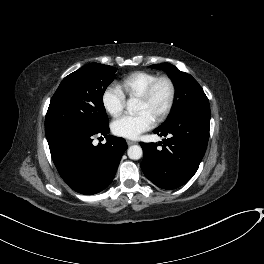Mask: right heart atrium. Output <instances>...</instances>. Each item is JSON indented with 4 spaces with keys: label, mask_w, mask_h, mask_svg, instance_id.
I'll use <instances>...</instances> for the list:
<instances>
[{
    "label": "right heart atrium",
    "mask_w": 264,
    "mask_h": 264,
    "mask_svg": "<svg viewBox=\"0 0 264 264\" xmlns=\"http://www.w3.org/2000/svg\"><path fill=\"white\" fill-rule=\"evenodd\" d=\"M102 104L112 117H118L126 105L125 94L119 87L109 86L102 94Z\"/></svg>",
    "instance_id": "obj_1"
}]
</instances>
